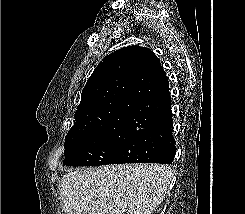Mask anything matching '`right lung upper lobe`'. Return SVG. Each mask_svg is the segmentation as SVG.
<instances>
[{"mask_svg": "<svg viewBox=\"0 0 245 214\" xmlns=\"http://www.w3.org/2000/svg\"><path fill=\"white\" fill-rule=\"evenodd\" d=\"M166 74L154 53L128 46L106 56L89 77L69 132L129 127L140 113L138 98L159 93Z\"/></svg>", "mask_w": 245, "mask_h": 214, "instance_id": "1", "label": "right lung upper lobe"}]
</instances>
